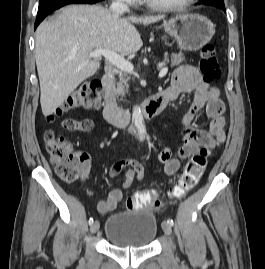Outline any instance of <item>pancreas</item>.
Instances as JSON below:
<instances>
[{
  "label": "pancreas",
  "instance_id": "pancreas-1",
  "mask_svg": "<svg viewBox=\"0 0 265 269\" xmlns=\"http://www.w3.org/2000/svg\"><path fill=\"white\" fill-rule=\"evenodd\" d=\"M184 59L185 57L182 52H179L178 54L173 53L171 55L170 66L171 67L178 66L180 63H182ZM167 62L168 60H165V63L163 64V66L166 65ZM128 81H129V77L125 78V75L120 76V81L117 83V87H116V94L118 96L123 97L125 93H128V88H129Z\"/></svg>",
  "mask_w": 265,
  "mask_h": 269
}]
</instances>
